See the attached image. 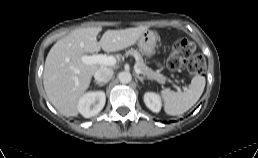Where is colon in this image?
<instances>
[{
    "label": "colon",
    "instance_id": "colon-1",
    "mask_svg": "<svg viewBox=\"0 0 258 158\" xmlns=\"http://www.w3.org/2000/svg\"><path fill=\"white\" fill-rule=\"evenodd\" d=\"M167 67L171 71L186 69L191 75H198L205 69V60L195 52L193 42L188 39L177 40L167 59Z\"/></svg>",
    "mask_w": 258,
    "mask_h": 158
}]
</instances>
